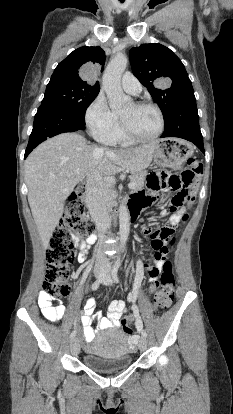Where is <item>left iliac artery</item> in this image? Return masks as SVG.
<instances>
[{
  "label": "left iliac artery",
  "instance_id": "1",
  "mask_svg": "<svg viewBox=\"0 0 233 414\" xmlns=\"http://www.w3.org/2000/svg\"><path fill=\"white\" fill-rule=\"evenodd\" d=\"M120 267V263H116L113 270H112V278L114 280V282L118 283L119 282V278H118V269ZM133 311L135 313L136 316V321H137V328L139 331H141L142 336H144L145 338L147 337V333L145 330L142 329V321L140 319L139 313H138V308L134 305L133 306Z\"/></svg>",
  "mask_w": 233,
  "mask_h": 414
}]
</instances>
